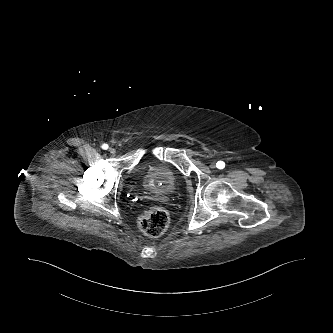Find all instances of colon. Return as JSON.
Masks as SVG:
<instances>
[{
	"mask_svg": "<svg viewBox=\"0 0 333 333\" xmlns=\"http://www.w3.org/2000/svg\"><path fill=\"white\" fill-rule=\"evenodd\" d=\"M169 214L163 207H154L138 220L141 231L148 236H159L167 229Z\"/></svg>",
	"mask_w": 333,
	"mask_h": 333,
	"instance_id": "obj_1",
	"label": "colon"
}]
</instances>
